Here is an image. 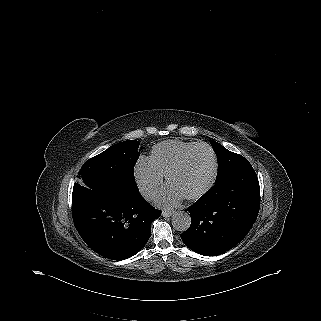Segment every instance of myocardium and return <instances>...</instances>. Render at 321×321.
Here are the masks:
<instances>
[{"mask_svg": "<svg viewBox=\"0 0 321 321\" xmlns=\"http://www.w3.org/2000/svg\"><path fill=\"white\" fill-rule=\"evenodd\" d=\"M198 149H207L211 153L212 158H213V173H212L210 180L201 189H199L198 191H196L194 193L184 195V198L187 200H194V199L201 197L206 192H208L212 188L214 183L216 182L217 175H218V160H217V156H216V153L213 150V148L210 145L205 144V143L197 144L195 147H193L191 150H189L187 152V154L182 159H180L166 175L167 186H171V179L175 175H177L182 169L185 168V166L189 162L193 153Z\"/></svg>", "mask_w": 321, "mask_h": 321, "instance_id": "obj_1", "label": "myocardium"}]
</instances>
